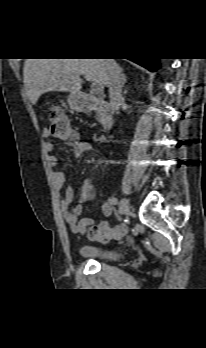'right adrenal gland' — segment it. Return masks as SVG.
<instances>
[{"instance_id": "right-adrenal-gland-1", "label": "right adrenal gland", "mask_w": 206, "mask_h": 348, "mask_svg": "<svg viewBox=\"0 0 206 348\" xmlns=\"http://www.w3.org/2000/svg\"><path fill=\"white\" fill-rule=\"evenodd\" d=\"M121 77H122V85L124 86L127 79H126L125 74L123 73V69L122 68H121Z\"/></svg>"}]
</instances>
